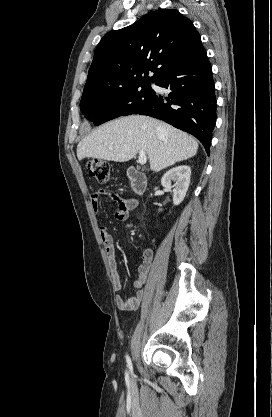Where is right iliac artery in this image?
<instances>
[{
    "instance_id": "82829eb1",
    "label": "right iliac artery",
    "mask_w": 272,
    "mask_h": 417,
    "mask_svg": "<svg viewBox=\"0 0 272 417\" xmlns=\"http://www.w3.org/2000/svg\"><path fill=\"white\" fill-rule=\"evenodd\" d=\"M126 360H127L128 365L131 366V360L128 355H126Z\"/></svg>"
}]
</instances>
